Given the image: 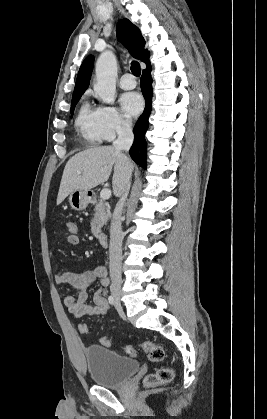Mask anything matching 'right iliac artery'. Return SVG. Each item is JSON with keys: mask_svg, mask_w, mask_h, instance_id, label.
I'll list each match as a JSON object with an SVG mask.
<instances>
[{"mask_svg": "<svg viewBox=\"0 0 267 419\" xmlns=\"http://www.w3.org/2000/svg\"><path fill=\"white\" fill-rule=\"evenodd\" d=\"M108 301L111 305L114 304V297L113 296H109Z\"/></svg>", "mask_w": 267, "mask_h": 419, "instance_id": "obj_1", "label": "right iliac artery"}]
</instances>
